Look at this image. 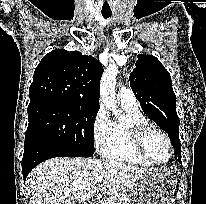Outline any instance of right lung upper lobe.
<instances>
[{"label": "right lung upper lobe", "mask_w": 206, "mask_h": 204, "mask_svg": "<svg viewBox=\"0 0 206 204\" xmlns=\"http://www.w3.org/2000/svg\"><path fill=\"white\" fill-rule=\"evenodd\" d=\"M101 63L79 51L56 49L46 54L34 72L30 102L59 100L99 107Z\"/></svg>", "instance_id": "right-lung-upper-lobe-1"}]
</instances>
